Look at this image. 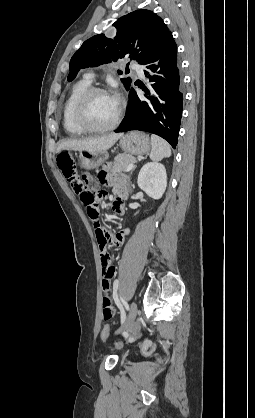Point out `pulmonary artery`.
<instances>
[{"label":"pulmonary artery","instance_id":"e3ab8cb5","mask_svg":"<svg viewBox=\"0 0 255 418\" xmlns=\"http://www.w3.org/2000/svg\"><path fill=\"white\" fill-rule=\"evenodd\" d=\"M132 68H133V69H135V70H137L138 74H139L141 77H143V76H144V73H143L142 69H141L138 65H133V66H132ZM87 78H88L89 80H92V76H91V75H88V76H87Z\"/></svg>","mask_w":255,"mask_h":418}]
</instances>
